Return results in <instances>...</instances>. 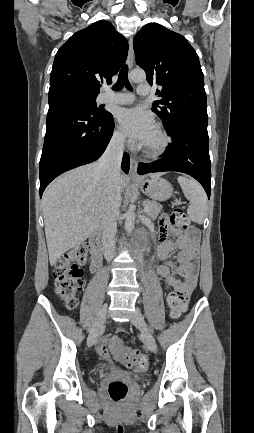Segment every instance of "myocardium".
I'll list each match as a JSON object with an SVG mask.
<instances>
[{"label": "myocardium", "mask_w": 254, "mask_h": 433, "mask_svg": "<svg viewBox=\"0 0 254 433\" xmlns=\"http://www.w3.org/2000/svg\"><path fill=\"white\" fill-rule=\"evenodd\" d=\"M155 130L157 134L159 135L161 142L157 147L150 148L145 145H143V152L148 156L152 158H157L163 155L169 148L171 144V138L168 135V133L164 130V128L157 124L155 126Z\"/></svg>", "instance_id": "obj_1"}]
</instances>
